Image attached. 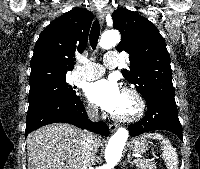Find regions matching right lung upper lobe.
<instances>
[{
    "instance_id": "1",
    "label": "right lung upper lobe",
    "mask_w": 200,
    "mask_h": 169,
    "mask_svg": "<svg viewBox=\"0 0 200 169\" xmlns=\"http://www.w3.org/2000/svg\"><path fill=\"white\" fill-rule=\"evenodd\" d=\"M93 15L75 8L52 21L40 34L30 62V86L44 80L66 79L76 63L75 53H82L88 41Z\"/></svg>"
}]
</instances>
